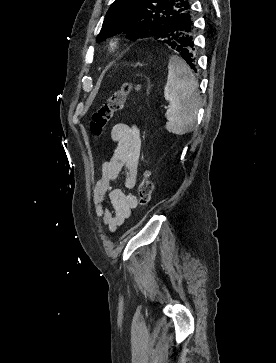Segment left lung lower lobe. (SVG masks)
<instances>
[{"mask_svg":"<svg viewBox=\"0 0 276 363\" xmlns=\"http://www.w3.org/2000/svg\"><path fill=\"white\" fill-rule=\"evenodd\" d=\"M194 32L192 15L190 9L181 16L175 24V31L170 36L168 45L176 50L181 57L189 64V68L196 71V52L194 45Z\"/></svg>","mask_w":276,"mask_h":363,"instance_id":"left-lung-lower-lobe-1","label":"left lung lower lobe"}]
</instances>
